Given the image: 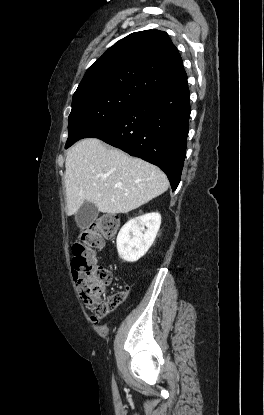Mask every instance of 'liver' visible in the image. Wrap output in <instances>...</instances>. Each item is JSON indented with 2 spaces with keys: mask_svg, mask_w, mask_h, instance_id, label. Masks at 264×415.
<instances>
[{
  "mask_svg": "<svg viewBox=\"0 0 264 415\" xmlns=\"http://www.w3.org/2000/svg\"><path fill=\"white\" fill-rule=\"evenodd\" d=\"M65 168L68 216L86 201L102 213H128L163 194L169 186L157 166L96 138L83 139L71 147Z\"/></svg>",
  "mask_w": 264,
  "mask_h": 415,
  "instance_id": "6515ba94",
  "label": "liver"
}]
</instances>
